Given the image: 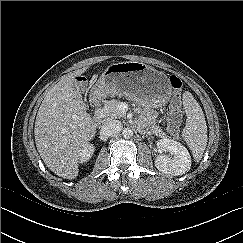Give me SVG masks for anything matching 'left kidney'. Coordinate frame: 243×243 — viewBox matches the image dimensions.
<instances>
[{"label":"left kidney","instance_id":"obj_1","mask_svg":"<svg viewBox=\"0 0 243 243\" xmlns=\"http://www.w3.org/2000/svg\"><path fill=\"white\" fill-rule=\"evenodd\" d=\"M157 148L161 153L155 159V166L159 171L168 175L178 176L190 170L191 156L187 148L181 143L173 139L164 138L157 141Z\"/></svg>","mask_w":243,"mask_h":243}]
</instances>
